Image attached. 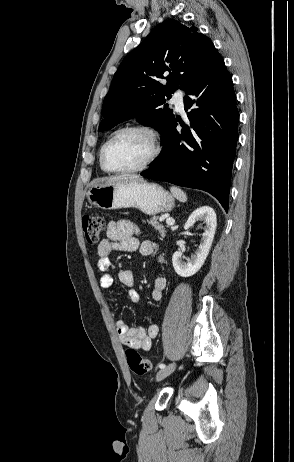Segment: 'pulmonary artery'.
Wrapping results in <instances>:
<instances>
[{"label":"pulmonary artery","mask_w":294,"mask_h":462,"mask_svg":"<svg viewBox=\"0 0 294 462\" xmlns=\"http://www.w3.org/2000/svg\"><path fill=\"white\" fill-rule=\"evenodd\" d=\"M184 95L185 94L183 91L177 90L171 98V103L175 105L176 109L179 112L184 111Z\"/></svg>","instance_id":"e3ab8cb5"}]
</instances>
